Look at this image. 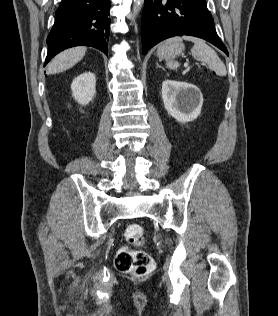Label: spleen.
<instances>
[{"label":"spleen","mask_w":278,"mask_h":316,"mask_svg":"<svg viewBox=\"0 0 278 316\" xmlns=\"http://www.w3.org/2000/svg\"><path fill=\"white\" fill-rule=\"evenodd\" d=\"M182 40L192 41L194 43L191 49L194 59L207 63L209 69L213 70L219 76H225L227 74L226 67L218 57L217 53L201 39L192 36L174 37L167 39L164 44L167 45ZM167 67L170 69H177L179 63L176 61H167Z\"/></svg>","instance_id":"3e777b00"}]
</instances>
